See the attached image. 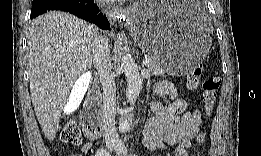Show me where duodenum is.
I'll list each match as a JSON object with an SVG mask.
<instances>
[{
	"label": "duodenum",
	"mask_w": 261,
	"mask_h": 156,
	"mask_svg": "<svg viewBox=\"0 0 261 156\" xmlns=\"http://www.w3.org/2000/svg\"><path fill=\"white\" fill-rule=\"evenodd\" d=\"M102 111L99 93L97 89L93 91L88 97L84 110L82 112V121L86 125H91L95 121L101 122Z\"/></svg>",
	"instance_id": "duodenum-1"
}]
</instances>
